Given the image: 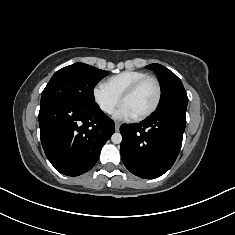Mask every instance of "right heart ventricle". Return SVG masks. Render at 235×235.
I'll use <instances>...</instances> for the list:
<instances>
[{
	"instance_id": "obj_1",
	"label": "right heart ventricle",
	"mask_w": 235,
	"mask_h": 235,
	"mask_svg": "<svg viewBox=\"0 0 235 235\" xmlns=\"http://www.w3.org/2000/svg\"><path fill=\"white\" fill-rule=\"evenodd\" d=\"M148 74L142 71L128 70L120 72L116 75L109 77L105 84L106 86L118 97L136 81L147 76Z\"/></svg>"
}]
</instances>
